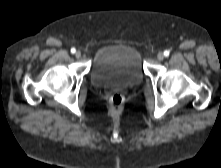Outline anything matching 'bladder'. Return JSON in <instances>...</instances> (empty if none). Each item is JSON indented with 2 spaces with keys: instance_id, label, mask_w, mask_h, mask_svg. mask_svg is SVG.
<instances>
[{
  "instance_id": "obj_1",
  "label": "bladder",
  "mask_w": 221,
  "mask_h": 168,
  "mask_svg": "<svg viewBox=\"0 0 221 168\" xmlns=\"http://www.w3.org/2000/svg\"><path fill=\"white\" fill-rule=\"evenodd\" d=\"M144 76L141 53L137 48L124 44L101 48L90 70L91 83L103 88L131 87L139 84Z\"/></svg>"
}]
</instances>
